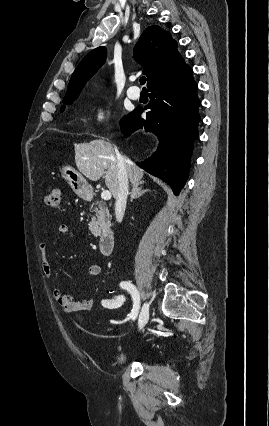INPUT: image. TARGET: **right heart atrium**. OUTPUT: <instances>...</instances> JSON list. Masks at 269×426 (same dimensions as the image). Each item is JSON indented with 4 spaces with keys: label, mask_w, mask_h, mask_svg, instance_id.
<instances>
[{
    "label": "right heart atrium",
    "mask_w": 269,
    "mask_h": 426,
    "mask_svg": "<svg viewBox=\"0 0 269 426\" xmlns=\"http://www.w3.org/2000/svg\"><path fill=\"white\" fill-rule=\"evenodd\" d=\"M111 115V107L105 98H100L94 102L89 119V127L98 129L107 124Z\"/></svg>",
    "instance_id": "right-heart-atrium-1"
}]
</instances>
